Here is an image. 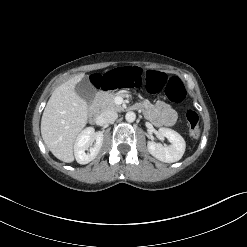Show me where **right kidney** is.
<instances>
[{
	"mask_svg": "<svg viewBox=\"0 0 247 247\" xmlns=\"http://www.w3.org/2000/svg\"><path fill=\"white\" fill-rule=\"evenodd\" d=\"M95 141L93 147L91 144ZM103 143V132L95 131L94 128L84 129L77 137L74 144V155L79 164H87L98 155ZM90 147V149H89ZM89 149V151H88ZM86 151H88L86 153Z\"/></svg>",
	"mask_w": 247,
	"mask_h": 247,
	"instance_id": "1",
	"label": "right kidney"
}]
</instances>
